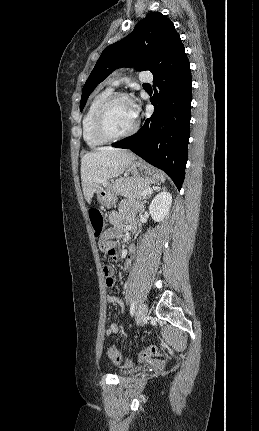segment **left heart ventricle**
<instances>
[{
	"mask_svg": "<svg viewBox=\"0 0 259 431\" xmlns=\"http://www.w3.org/2000/svg\"><path fill=\"white\" fill-rule=\"evenodd\" d=\"M136 120L128 99L116 101L109 109L106 119L108 130L113 134H121L132 128Z\"/></svg>",
	"mask_w": 259,
	"mask_h": 431,
	"instance_id": "left-heart-ventricle-1",
	"label": "left heart ventricle"
}]
</instances>
